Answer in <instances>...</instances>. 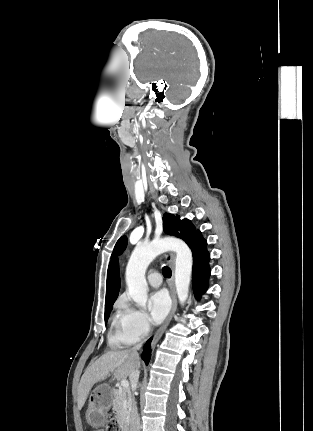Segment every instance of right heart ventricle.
Instances as JSON below:
<instances>
[{
	"mask_svg": "<svg viewBox=\"0 0 313 431\" xmlns=\"http://www.w3.org/2000/svg\"><path fill=\"white\" fill-rule=\"evenodd\" d=\"M125 314L126 308L122 303H119L113 317L112 331L109 336V343L112 347L129 346L137 341L125 325Z\"/></svg>",
	"mask_w": 313,
	"mask_h": 431,
	"instance_id": "1",
	"label": "right heart ventricle"
}]
</instances>
